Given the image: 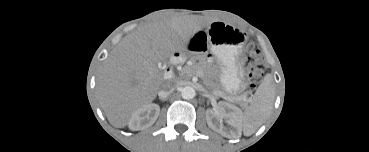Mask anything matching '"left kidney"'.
Here are the masks:
<instances>
[{
    "instance_id": "left-kidney-1",
    "label": "left kidney",
    "mask_w": 369,
    "mask_h": 152,
    "mask_svg": "<svg viewBox=\"0 0 369 152\" xmlns=\"http://www.w3.org/2000/svg\"><path fill=\"white\" fill-rule=\"evenodd\" d=\"M219 115L222 118L228 120L229 124L235 129V131H231L230 133H227L224 130V126L222 123L218 124L217 122H214L213 119ZM206 120H207L208 126L212 130L220 134H223L224 136L237 137V132L239 129L238 125L241 120V112L238 108L234 106H231L226 103H219V105L216 106L215 108L208 109L206 111Z\"/></svg>"
}]
</instances>
